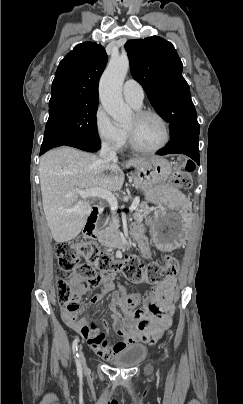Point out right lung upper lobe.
Wrapping results in <instances>:
<instances>
[{
  "label": "right lung upper lobe",
  "mask_w": 243,
  "mask_h": 404,
  "mask_svg": "<svg viewBox=\"0 0 243 404\" xmlns=\"http://www.w3.org/2000/svg\"><path fill=\"white\" fill-rule=\"evenodd\" d=\"M105 49L93 42L77 45L60 62L49 106L67 102H98V84L106 67Z\"/></svg>",
  "instance_id": "1"
}]
</instances>
